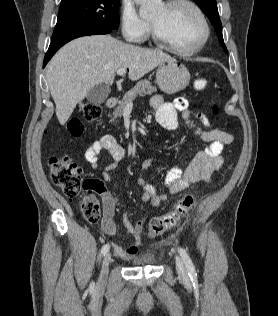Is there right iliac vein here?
I'll return each instance as SVG.
<instances>
[{"label": "right iliac vein", "mask_w": 278, "mask_h": 316, "mask_svg": "<svg viewBox=\"0 0 278 316\" xmlns=\"http://www.w3.org/2000/svg\"><path fill=\"white\" fill-rule=\"evenodd\" d=\"M110 262H111V254L107 253L102 261V268H101V274H100V279H99V283L101 285L105 284L107 280Z\"/></svg>", "instance_id": "63e3f726"}]
</instances>
